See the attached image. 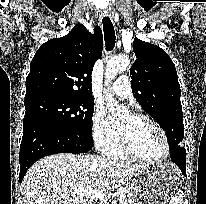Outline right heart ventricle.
<instances>
[{"label":"right heart ventricle","mask_w":206,"mask_h":204,"mask_svg":"<svg viewBox=\"0 0 206 204\" xmlns=\"http://www.w3.org/2000/svg\"><path fill=\"white\" fill-rule=\"evenodd\" d=\"M108 157L115 159V160H125L129 157L123 152L121 149L119 139L117 138L116 142L113 146L105 153Z\"/></svg>","instance_id":"obj_1"}]
</instances>
